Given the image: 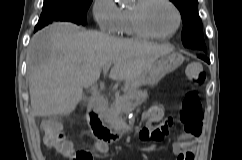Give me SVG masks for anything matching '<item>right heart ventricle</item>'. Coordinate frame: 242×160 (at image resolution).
Wrapping results in <instances>:
<instances>
[{
    "label": "right heart ventricle",
    "instance_id": "1",
    "mask_svg": "<svg viewBox=\"0 0 242 160\" xmlns=\"http://www.w3.org/2000/svg\"><path fill=\"white\" fill-rule=\"evenodd\" d=\"M117 33L122 36L135 38V39L144 38L133 27L131 17H130V8L120 9V19H119Z\"/></svg>",
    "mask_w": 242,
    "mask_h": 160
}]
</instances>
